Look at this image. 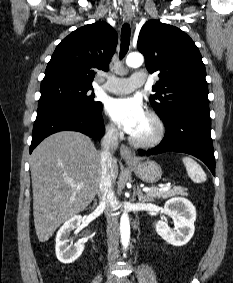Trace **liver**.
<instances>
[{
	"mask_svg": "<svg viewBox=\"0 0 233 283\" xmlns=\"http://www.w3.org/2000/svg\"><path fill=\"white\" fill-rule=\"evenodd\" d=\"M33 216L36 235L46 242L66 220L83 211L98 193L101 152L92 140L75 131H61L44 139L30 159ZM113 182L118 176L112 161ZM83 184L81 189L73 185Z\"/></svg>",
	"mask_w": 233,
	"mask_h": 283,
	"instance_id": "liver-1",
	"label": "liver"
}]
</instances>
